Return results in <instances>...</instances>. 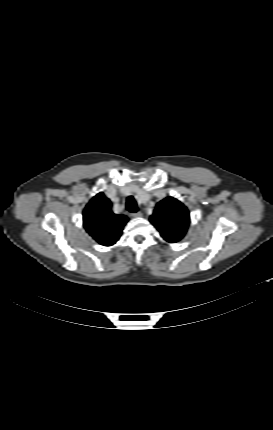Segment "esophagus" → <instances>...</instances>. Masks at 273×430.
Listing matches in <instances>:
<instances>
[{
	"label": "esophagus",
	"instance_id": "1",
	"mask_svg": "<svg viewBox=\"0 0 273 430\" xmlns=\"http://www.w3.org/2000/svg\"><path fill=\"white\" fill-rule=\"evenodd\" d=\"M131 217H133V218H140V217H142V213L140 211L136 212V213H131Z\"/></svg>",
	"mask_w": 273,
	"mask_h": 430
}]
</instances>
